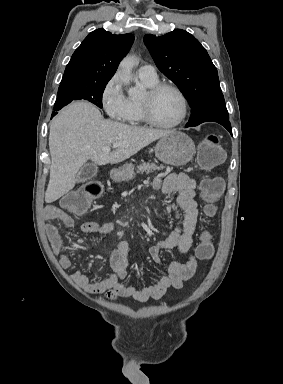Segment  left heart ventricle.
Segmentation results:
<instances>
[{"label":"left heart ventricle","instance_id":"obj_1","mask_svg":"<svg viewBox=\"0 0 283 384\" xmlns=\"http://www.w3.org/2000/svg\"><path fill=\"white\" fill-rule=\"evenodd\" d=\"M181 110L180 99L173 91L168 89L159 92L151 101L152 115L156 121L162 124H170L176 121L181 115Z\"/></svg>","mask_w":283,"mask_h":384}]
</instances>
